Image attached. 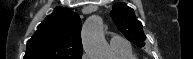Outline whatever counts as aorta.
I'll list each match as a JSON object with an SVG mask.
<instances>
[{
	"instance_id": "obj_1",
	"label": "aorta",
	"mask_w": 193,
	"mask_h": 59,
	"mask_svg": "<svg viewBox=\"0 0 193 59\" xmlns=\"http://www.w3.org/2000/svg\"><path fill=\"white\" fill-rule=\"evenodd\" d=\"M84 49L92 59H113V53L104 38L103 22L98 16L89 17L82 30Z\"/></svg>"
}]
</instances>
